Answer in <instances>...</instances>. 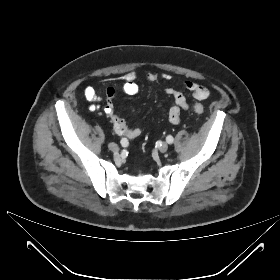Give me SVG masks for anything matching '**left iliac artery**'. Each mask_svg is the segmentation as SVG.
I'll return each instance as SVG.
<instances>
[{"mask_svg": "<svg viewBox=\"0 0 280 280\" xmlns=\"http://www.w3.org/2000/svg\"><path fill=\"white\" fill-rule=\"evenodd\" d=\"M166 141H167V143L172 144L174 139L171 135H169V136L166 137Z\"/></svg>", "mask_w": 280, "mask_h": 280, "instance_id": "44dca946", "label": "left iliac artery"}]
</instances>
